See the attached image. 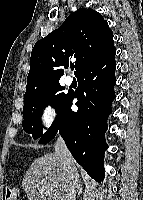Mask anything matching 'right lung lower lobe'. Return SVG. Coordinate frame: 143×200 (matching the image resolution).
Returning <instances> with one entry per match:
<instances>
[{
	"mask_svg": "<svg viewBox=\"0 0 143 200\" xmlns=\"http://www.w3.org/2000/svg\"><path fill=\"white\" fill-rule=\"evenodd\" d=\"M115 54L114 47L81 69L76 76L79 88L68 95L52 126L39 141L47 143L59 132L75 160L100 182L104 178V151L108 148L107 118L115 99ZM74 98L78 99L77 112L71 110Z\"/></svg>",
	"mask_w": 143,
	"mask_h": 200,
	"instance_id": "98d812e1",
	"label": "right lung lower lobe"
}]
</instances>
